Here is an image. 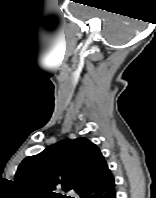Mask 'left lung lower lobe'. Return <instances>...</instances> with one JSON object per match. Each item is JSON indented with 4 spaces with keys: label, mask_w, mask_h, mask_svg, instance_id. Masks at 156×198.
<instances>
[{
    "label": "left lung lower lobe",
    "mask_w": 156,
    "mask_h": 198,
    "mask_svg": "<svg viewBox=\"0 0 156 198\" xmlns=\"http://www.w3.org/2000/svg\"><path fill=\"white\" fill-rule=\"evenodd\" d=\"M81 198H116L115 180L111 171H107L102 179L80 194Z\"/></svg>",
    "instance_id": "0a47b994"
}]
</instances>
